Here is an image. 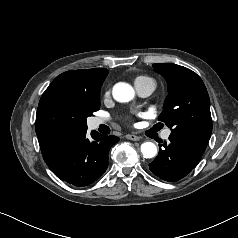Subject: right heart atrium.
<instances>
[{
	"label": "right heart atrium",
	"mask_w": 238,
	"mask_h": 238,
	"mask_svg": "<svg viewBox=\"0 0 238 238\" xmlns=\"http://www.w3.org/2000/svg\"><path fill=\"white\" fill-rule=\"evenodd\" d=\"M110 88H107L106 90H105V93H104V96L107 98V97H109L110 96Z\"/></svg>",
	"instance_id": "obj_1"
}]
</instances>
